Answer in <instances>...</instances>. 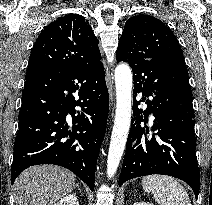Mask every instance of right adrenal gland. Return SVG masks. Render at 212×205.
Here are the masks:
<instances>
[{"mask_svg":"<svg viewBox=\"0 0 212 205\" xmlns=\"http://www.w3.org/2000/svg\"><path fill=\"white\" fill-rule=\"evenodd\" d=\"M75 188H78V189H80L78 184H76V185H75Z\"/></svg>","mask_w":212,"mask_h":205,"instance_id":"2a0ac1e0","label":"right adrenal gland"}]
</instances>
